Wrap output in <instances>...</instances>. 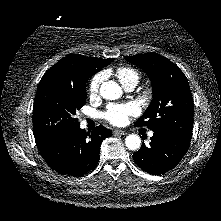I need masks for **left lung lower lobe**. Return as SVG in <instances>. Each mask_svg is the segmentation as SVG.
I'll return each mask as SVG.
<instances>
[{
    "label": "left lung lower lobe",
    "instance_id": "obj_1",
    "mask_svg": "<svg viewBox=\"0 0 221 221\" xmlns=\"http://www.w3.org/2000/svg\"><path fill=\"white\" fill-rule=\"evenodd\" d=\"M153 132L150 146L143 143L133 154V159L144 171L161 175L177 166L187 152L191 138L169 132Z\"/></svg>",
    "mask_w": 221,
    "mask_h": 221
}]
</instances>
